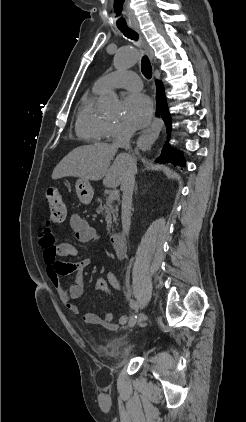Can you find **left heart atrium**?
I'll use <instances>...</instances> for the list:
<instances>
[{
  "instance_id": "obj_1",
  "label": "left heart atrium",
  "mask_w": 246,
  "mask_h": 422,
  "mask_svg": "<svg viewBox=\"0 0 246 422\" xmlns=\"http://www.w3.org/2000/svg\"><path fill=\"white\" fill-rule=\"evenodd\" d=\"M124 121L131 128L146 126L152 115V105L149 98L141 93H131L123 101Z\"/></svg>"
}]
</instances>
